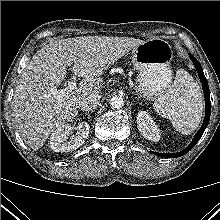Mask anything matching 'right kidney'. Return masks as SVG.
<instances>
[{
  "label": "right kidney",
  "instance_id": "obj_1",
  "mask_svg": "<svg viewBox=\"0 0 220 220\" xmlns=\"http://www.w3.org/2000/svg\"><path fill=\"white\" fill-rule=\"evenodd\" d=\"M77 130L76 135L68 140V136L73 130ZM90 126L87 122H81L76 127L69 124L59 126L50 137V148L55 152H69L82 146L88 137Z\"/></svg>",
  "mask_w": 220,
  "mask_h": 220
}]
</instances>
